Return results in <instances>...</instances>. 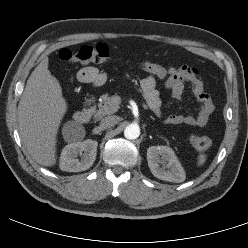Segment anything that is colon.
<instances>
[{
	"instance_id": "obj_1",
	"label": "colon",
	"mask_w": 248,
	"mask_h": 248,
	"mask_svg": "<svg viewBox=\"0 0 248 248\" xmlns=\"http://www.w3.org/2000/svg\"><path fill=\"white\" fill-rule=\"evenodd\" d=\"M59 58L69 64H97L112 59H119L115 56L111 48L104 44L98 43L96 45H84L77 50H70L67 48L61 49ZM137 66L144 72L156 76L159 79L168 77L169 70L166 66L150 61H139ZM192 145L199 150H207L212 145V140L203 135H193L190 138Z\"/></svg>"
}]
</instances>
